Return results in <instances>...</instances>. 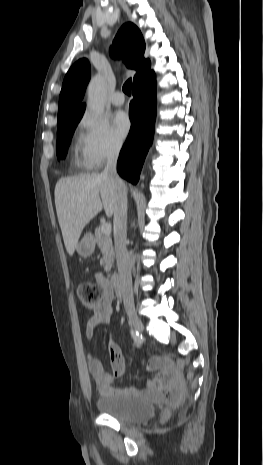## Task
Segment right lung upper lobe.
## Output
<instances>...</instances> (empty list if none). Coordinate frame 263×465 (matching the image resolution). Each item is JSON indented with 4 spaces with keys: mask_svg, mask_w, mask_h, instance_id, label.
Segmentation results:
<instances>
[{
    "mask_svg": "<svg viewBox=\"0 0 263 465\" xmlns=\"http://www.w3.org/2000/svg\"><path fill=\"white\" fill-rule=\"evenodd\" d=\"M145 42L140 30L131 22L125 23L118 31L110 53L113 57H122L126 66L137 71L133 84L151 71V64L144 58ZM90 79V64L80 59L67 72L59 97L58 122L73 113L84 111L86 104H80Z\"/></svg>",
    "mask_w": 263,
    "mask_h": 465,
    "instance_id": "right-lung-upper-lobe-1",
    "label": "right lung upper lobe"
}]
</instances>
